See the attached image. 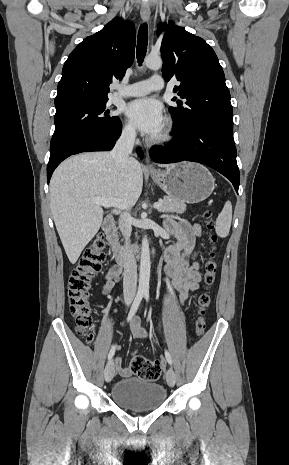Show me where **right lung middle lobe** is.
Returning <instances> with one entry per match:
<instances>
[{
  "label": "right lung middle lobe",
  "instance_id": "right-lung-middle-lobe-1",
  "mask_svg": "<svg viewBox=\"0 0 289 465\" xmlns=\"http://www.w3.org/2000/svg\"><path fill=\"white\" fill-rule=\"evenodd\" d=\"M108 99L76 100L55 105V131L50 152L55 151L76 137L91 132H109L120 122L111 117Z\"/></svg>",
  "mask_w": 289,
  "mask_h": 465
}]
</instances>
